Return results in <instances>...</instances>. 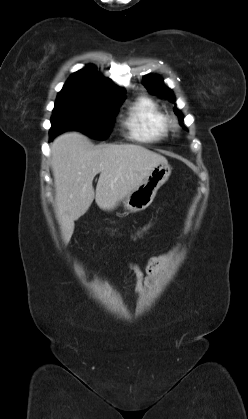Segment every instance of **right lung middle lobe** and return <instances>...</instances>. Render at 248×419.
<instances>
[{
  "instance_id": "right-lung-middle-lobe-1",
  "label": "right lung middle lobe",
  "mask_w": 248,
  "mask_h": 419,
  "mask_svg": "<svg viewBox=\"0 0 248 419\" xmlns=\"http://www.w3.org/2000/svg\"><path fill=\"white\" fill-rule=\"evenodd\" d=\"M124 98L98 99L60 92L51 117L50 137L53 139L66 130H79L92 138L106 139Z\"/></svg>"
}]
</instances>
